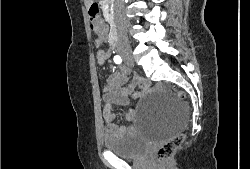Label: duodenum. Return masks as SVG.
<instances>
[{"mask_svg":"<svg viewBox=\"0 0 250 169\" xmlns=\"http://www.w3.org/2000/svg\"><path fill=\"white\" fill-rule=\"evenodd\" d=\"M108 41L114 47H118L120 45V40H119V37H118V33L115 30H112V31L109 32Z\"/></svg>","mask_w":250,"mask_h":169,"instance_id":"obj_1","label":"duodenum"}]
</instances>
